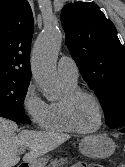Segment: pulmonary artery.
I'll return each mask as SVG.
<instances>
[{"label": "pulmonary artery", "mask_w": 125, "mask_h": 167, "mask_svg": "<svg viewBox=\"0 0 125 167\" xmlns=\"http://www.w3.org/2000/svg\"><path fill=\"white\" fill-rule=\"evenodd\" d=\"M58 76L61 80L67 82H77L79 70L76 62L68 56H62L57 65Z\"/></svg>", "instance_id": "obj_1"}]
</instances>
